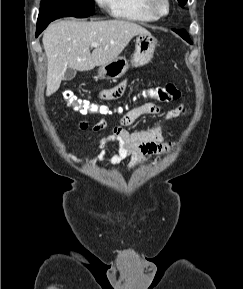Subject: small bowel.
I'll list each match as a JSON object with an SVG mask.
<instances>
[{"label":"small bowel","mask_w":243,"mask_h":289,"mask_svg":"<svg viewBox=\"0 0 243 289\" xmlns=\"http://www.w3.org/2000/svg\"><path fill=\"white\" fill-rule=\"evenodd\" d=\"M127 87V81H123L119 85L105 89L100 92V97L104 100H115L123 95ZM162 108L156 103H147L136 107L119 119L118 123L112 128L110 142L117 146V151L109 155V160L113 164H118L125 159H130L133 162H145L147 155L162 154L170 152L174 146L173 143L165 140V129L169 122L181 116L185 112L183 105L169 110L162 121L155 127L147 130L129 131L128 126L132 125L139 118L146 115H157ZM106 126L105 120L90 125L88 121L83 120L78 124L81 130L100 131ZM103 142H98V146H102ZM104 153L99 152L96 155V161L101 160Z\"/></svg>","instance_id":"obj_1"}]
</instances>
